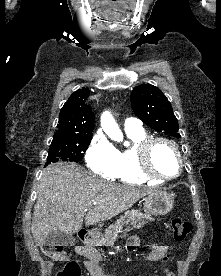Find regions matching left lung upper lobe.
Returning a JSON list of instances; mask_svg holds the SVG:
<instances>
[{"mask_svg":"<svg viewBox=\"0 0 221 276\" xmlns=\"http://www.w3.org/2000/svg\"><path fill=\"white\" fill-rule=\"evenodd\" d=\"M131 105L135 115L149 127L180 137L171 103L159 88L150 84L135 87L131 93Z\"/></svg>","mask_w":221,"mask_h":276,"instance_id":"1","label":"left lung upper lobe"}]
</instances>
